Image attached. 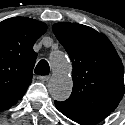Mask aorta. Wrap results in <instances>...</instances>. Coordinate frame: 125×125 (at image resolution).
Returning <instances> with one entry per match:
<instances>
[{
  "instance_id": "aorta-1",
  "label": "aorta",
  "mask_w": 125,
  "mask_h": 125,
  "mask_svg": "<svg viewBox=\"0 0 125 125\" xmlns=\"http://www.w3.org/2000/svg\"><path fill=\"white\" fill-rule=\"evenodd\" d=\"M50 63L53 69V76L48 83L51 96L58 100H66L72 91L71 70L72 65L66 55L61 51H56L50 55Z\"/></svg>"
}]
</instances>
